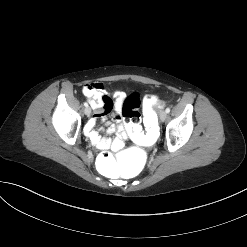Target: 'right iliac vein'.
Returning <instances> with one entry per match:
<instances>
[{
	"mask_svg": "<svg viewBox=\"0 0 247 247\" xmlns=\"http://www.w3.org/2000/svg\"><path fill=\"white\" fill-rule=\"evenodd\" d=\"M84 112H85V114L87 116H90V114H91V108L90 107H86L85 110H84Z\"/></svg>",
	"mask_w": 247,
	"mask_h": 247,
	"instance_id": "right-iliac-vein-1",
	"label": "right iliac vein"
}]
</instances>
